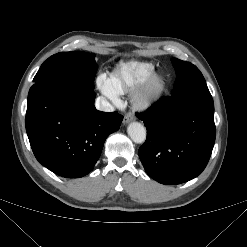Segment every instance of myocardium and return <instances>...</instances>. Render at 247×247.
Instances as JSON below:
<instances>
[{
	"label": "myocardium",
	"mask_w": 247,
	"mask_h": 247,
	"mask_svg": "<svg viewBox=\"0 0 247 247\" xmlns=\"http://www.w3.org/2000/svg\"><path fill=\"white\" fill-rule=\"evenodd\" d=\"M166 85V78L162 74L154 73L134 94V105L138 109H148L161 98L166 89Z\"/></svg>",
	"instance_id": "myocardium-1"
}]
</instances>
